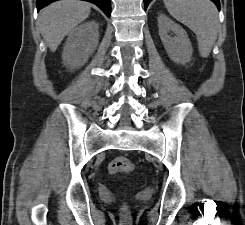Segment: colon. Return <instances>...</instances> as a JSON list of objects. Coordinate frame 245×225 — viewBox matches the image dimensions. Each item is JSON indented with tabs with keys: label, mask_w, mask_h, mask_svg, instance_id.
I'll use <instances>...</instances> for the list:
<instances>
[{
	"label": "colon",
	"mask_w": 245,
	"mask_h": 225,
	"mask_svg": "<svg viewBox=\"0 0 245 225\" xmlns=\"http://www.w3.org/2000/svg\"><path fill=\"white\" fill-rule=\"evenodd\" d=\"M109 172L112 175H120L133 171L134 163L127 157L119 156L114 158L108 166ZM122 214L125 221H129V207L124 204L122 207Z\"/></svg>",
	"instance_id": "5ec220e1"
}]
</instances>
